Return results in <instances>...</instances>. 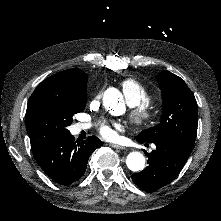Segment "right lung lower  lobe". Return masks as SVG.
Returning <instances> with one entry per match:
<instances>
[{"instance_id": "98d812e1", "label": "right lung lower lobe", "mask_w": 221, "mask_h": 221, "mask_svg": "<svg viewBox=\"0 0 221 221\" xmlns=\"http://www.w3.org/2000/svg\"><path fill=\"white\" fill-rule=\"evenodd\" d=\"M102 145L93 136L81 143L71 134L66 137L32 148L34 157L43 171L55 182L69 185L85 173L89 156Z\"/></svg>"}]
</instances>
